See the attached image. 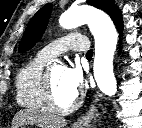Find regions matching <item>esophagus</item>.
Masks as SVG:
<instances>
[{
	"label": "esophagus",
	"mask_w": 142,
	"mask_h": 128,
	"mask_svg": "<svg viewBox=\"0 0 142 128\" xmlns=\"http://www.w3.org/2000/svg\"><path fill=\"white\" fill-rule=\"evenodd\" d=\"M100 98H101L100 92L96 91V93H94V95L92 96L88 111L73 123V128L88 127L90 121L92 120L93 116L98 110V102Z\"/></svg>",
	"instance_id": "1"
}]
</instances>
